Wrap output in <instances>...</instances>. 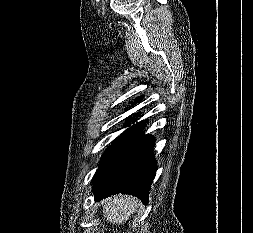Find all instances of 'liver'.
<instances>
[{
    "mask_svg": "<svg viewBox=\"0 0 253 233\" xmlns=\"http://www.w3.org/2000/svg\"><path fill=\"white\" fill-rule=\"evenodd\" d=\"M103 215L112 224L126 222L138 206V200L130 196L107 198L103 203Z\"/></svg>",
    "mask_w": 253,
    "mask_h": 233,
    "instance_id": "obj_1",
    "label": "liver"
}]
</instances>
